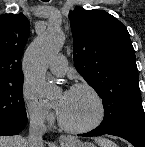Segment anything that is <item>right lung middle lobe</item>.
I'll use <instances>...</instances> for the list:
<instances>
[{
  "instance_id": "1",
  "label": "right lung middle lobe",
  "mask_w": 145,
  "mask_h": 147,
  "mask_svg": "<svg viewBox=\"0 0 145 147\" xmlns=\"http://www.w3.org/2000/svg\"><path fill=\"white\" fill-rule=\"evenodd\" d=\"M23 79L0 84V126L15 125L27 118L22 93Z\"/></svg>"
}]
</instances>
